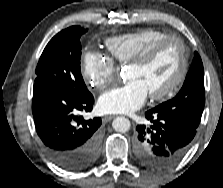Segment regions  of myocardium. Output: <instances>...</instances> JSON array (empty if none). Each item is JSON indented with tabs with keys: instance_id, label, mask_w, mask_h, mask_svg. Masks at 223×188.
<instances>
[{
	"instance_id": "obj_1",
	"label": "myocardium",
	"mask_w": 223,
	"mask_h": 188,
	"mask_svg": "<svg viewBox=\"0 0 223 188\" xmlns=\"http://www.w3.org/2000/svg\"><path fill=\"white\" fill-rule=\"evenodd\" d=\"M171 42H175L176 44H178L180 48V53H181L180 69L173 82L166 89L149 94V97L152 100L156 101L165 100L173 96L179 91V89L185 82L189 70V54L185 42L178 36L167 35L162 39L149 45L144 51H142L139 55H137L134 59H132L128 63L129 67L144 66L148 64L165 45Z\"/></svg>"
}]
</instances>
